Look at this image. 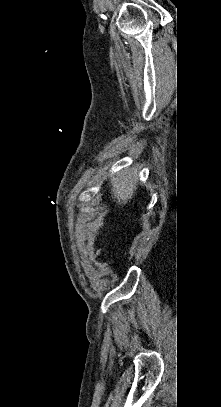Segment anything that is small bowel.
<instances>
[{"instance_id":"small-bowel-1","label":"small bowel","mask_w":221,"mask_h":407,"mask_svg":"<svg viewBox=\"0 0 221 407\" xmlns=\"http://www.w3.org/2000/svg\"><path fill=\"white\" fill-rule=\"evenodd\" d=\"M101 255V249H98L94 254H93V259H97Z\"/></svg>"}]
</instances>
